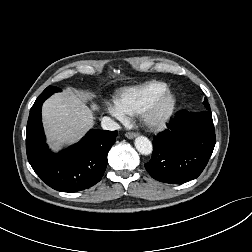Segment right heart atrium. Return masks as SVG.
Wrapping results in <instances>:
<instances>
[{
	"mask_svg": "<svg viewBox=\"0 0 252 252\" xmlns=\"http://www.w3.org/2000/svg\"><path fill=\"white\" fill-rule=\"evenodd\" d=\"M108 110L119 120L123 121L125 119V115L116 106H109Z\"/></svg>",
	"mask_w": 252,
	"mask_h": 252,
	"instance_id": "d8ad5b80",
	"label": "right heart atrium"
}]
</instances>
